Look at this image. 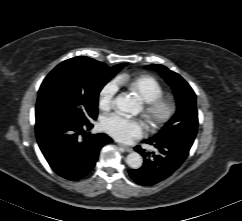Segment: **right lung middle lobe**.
<instances>
[{"instance_id":"1","label":"right lung middle lobe","mask_w":242,"mask_h":221,"mask_svg":"<svg viewBox=\"0 0 242 221\" xmlns=\"http://www.w3.org/2000/svg\"><path fill=\"white\" fill-rule=\"evenodd\" d=\"M126 64L107 65L91 58L64 61L44 79L38 93L36 120L61 117L72 121L96 119L103 86Z\"/></svg>"}]
</instances>
